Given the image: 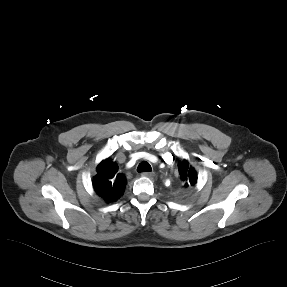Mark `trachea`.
I'll return each mask as SVG.
<instances>
[{
	"mask_svg": "<svg viewBox=\"0 0 287 287\" xmlns=\"http://www.w3.org/2000/svg\"><path fill=\"white\" fill-rule=\"evenodd\" d=\"M137 171L138 172H150L152 171V168L148 162L143 161L138 165Z\"/></svg>",
	"mask_w": 287,
	"mask_h": 287,
	"instance_id": "obj_1",
	"label": "trachea"
}]
</instances>
